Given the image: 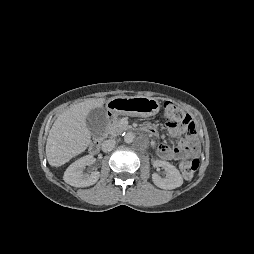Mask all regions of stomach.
Instances as JSON below:
<instances>
[{
    "label": "stomach",
    "mask_w": 254,
    "mask_h": 254,
    "mask_svg": "<svg viewBox=\"0 0 254 254\" xmlns=\"http://www.w3.org/2000/svg\"><path fill=\"white\" fill-rule=\"evenodd\" d=\"M160 107V102L157 99L143 96H118L109 99L107 102V110L112 117L118 115L150 117L156 115Z\"/></svg>",
    "instance_id": "0dacf381"
}]
</instances>
